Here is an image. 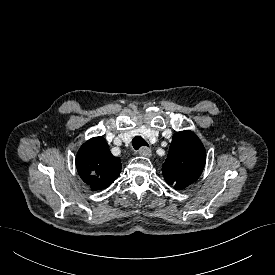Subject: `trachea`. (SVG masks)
<instances>
[{"label":"trachea","instance_id":"obj_1","mask_svg":"<svg viewBox=\"0 0 275 275\" xmlns=\"http://www.w3.org/2000/svg\"><path fill=\"white\" fill-rule=\"evenodd\" d=\"M132 145L135 150H138L142 146H148V143L141 136H136L132 140Z\"/></svg>","mask_w":275,"mask_h":275}]
</instances>
